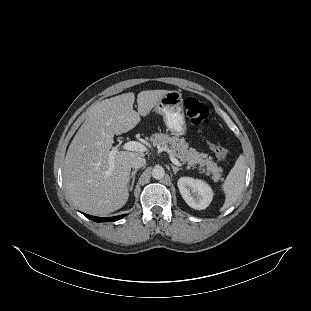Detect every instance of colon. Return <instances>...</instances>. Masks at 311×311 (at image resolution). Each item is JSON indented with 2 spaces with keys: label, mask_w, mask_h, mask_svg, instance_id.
<instances>
[{
  "label": "colon",
  "mask_w": 311,
  "mask_h": 311,
  "mask_svg": "<svg viewBox=\"0 0 311 311\" xmlns=\"http://www.w3.org/2000/svg\"><path fill=\"white\" fill-rule=\"evenodd\" d=\"M184 107L188 118L197 126L203 127L209 124V111L207 106L194 97H188L184 100ZM212 151L219 161H225L228 152L224 146L219 143H210Z\"/></svg>",
  "instance_id": "colon-1"
}]
</instances>
